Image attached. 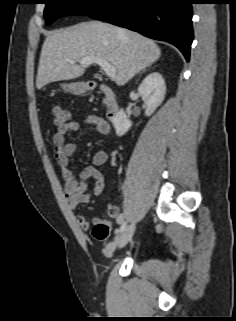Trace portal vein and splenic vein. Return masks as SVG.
<instances>
[{
  "mask_svg": "<svg viewBox=\"0 0 236 321\" xmlns=\"http://www.w3.org/2000/svg\"><path fill=\"white\" fill-rule=\"evenodd\" d=\"M71 63H76V61H71ZM81 65H91L93 63L98 64L101 69L106 73L109 77L116 76V68L108 63L106 60L99 58V57H87L79 60Z\"/></svg>",
  "mask_w": 236,
  "mask_h": 321,
  "instance_id": "portal-vein-and-splenic-vein-1",
  "label": "portal vein and splenic vein"
}]
</instances>
